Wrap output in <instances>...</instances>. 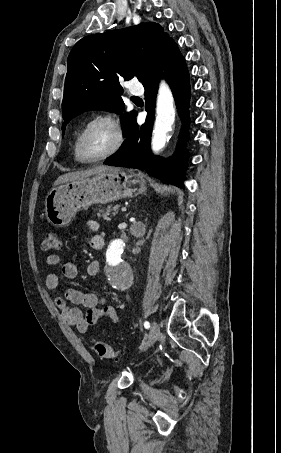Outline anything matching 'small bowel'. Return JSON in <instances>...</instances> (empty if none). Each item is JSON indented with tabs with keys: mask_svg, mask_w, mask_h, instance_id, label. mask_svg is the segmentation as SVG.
<instances>
[{
	"mask_svg": "<svg viewBox=\"0 0 281 453\" xmlns=\"http://www.w3.org/2000/svg\"><path fill=\"white\" fill-rule=\"evenodd\" d=\"M87 229L91 233H97L100 230V224L96 221H89ZM96 252L103 250L104 239L94 237L91 241ZM60 262L56 255H49L46 263L53 267ZM62 275L66 279H76L79 275L77 264L74 261H66L62 264ZM100 271V263L91 261L86 265L85 274L87 276H97ZM45 283L48 289L59 292L61 295L54 298V306L62 313L63 317L77 330L84 334L90 326L95 325L102 318H109L115 322L119 321L116 309L114 307H102V301L94 294L87 293L71 287L62 286L59 275L54 271H48L45 274ZM68 303L79 305L85 311L79 308H73Z\"/></svg>",
	"mask_w": 281,
	"mask_h": 453,
	"instance_id": "c3829d8e",
	"label": "small bowel"
}]
</instances>
